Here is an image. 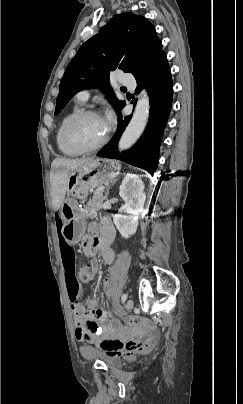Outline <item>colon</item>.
Returning a JSON list of instances; mask_svg holds the SVG:
<instances>
[{
	"label": "colon",
	"instance_id": "5ec220e1",
	"mask_svg": "<svg viewBox=\"0 0 243 404\" xmlns=\"http://www.w3.org/2000/svg\"><path fill=\"white\" fill-rule=\"evenodd\" d=\"M95 273L90 263L83 262L79 266L78 279L82 283H89L94 279ZM104 293L107 296L112 294V286L109 279L105 280ZM72 298L77 301L79 298L78 293H74ZM99 347L110 352L125 355H134L149 351L155 344V339L151 334H144L142 337L132 339L129 341H122L118 338L107 337L97 342Z\"/></svg>",
	"mask_w": 243,
	"mask_h": 404
}]
</instances>
